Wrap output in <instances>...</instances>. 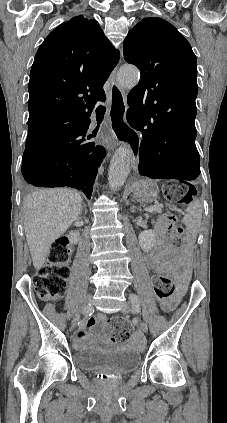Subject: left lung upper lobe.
I'll use <instances>...</instances> for the list:
<instances>
[{
  "label": "left lung upper lobe",
  "instance_id": "obj_1",
  "mask_svg": "<svg viewBox=\"0 0 227 423\" xmlns=\"http://www.w3.org/2000/svg\"><path fill=\"white\" fill-rule=\"evenodd\" d=\"M123 53L141 71L127 97L130 108L196 114V56L173 25L161 18L143 19L129 31Z\"/></svg>",
  "mask_w": 227,
  "mask_h": 423
}]
</instances>
